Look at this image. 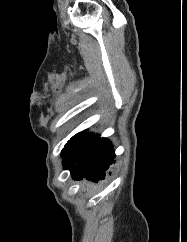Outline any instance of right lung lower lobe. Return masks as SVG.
Instances as JSON below:
<instances>
[{"instance_id": "right-lung-lower-lobe-1", "label": "right lung lower lobe", "mask_w": 187, "mask_h": 242, "mask_svg": "<svg viewBox=\"0 0 187 242\" xmlns=\"http://www.w3.org/2000/svg\"><path fill=\"white\" fill-rule=\"evenodd\" d=\"M64 168L74 179L87 178L93 182L105 179L114 163L115 152L109 139L86 131L73 136L62 150Z\"/></svg>"}]
</instances>
